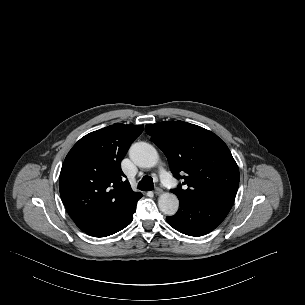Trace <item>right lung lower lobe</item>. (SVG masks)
I'll use <instances>...</instances> for the list:
<instances>
[{
	"label": "right lung lower lobe",
	"instance_id": "right-lung-lower-lobe-1",
	"mask_svg": "<svg viewBox=\"0 0 305 305\" xmlns=\"http://www.w3.org/2000/svg\"><path fill=\"white\" fill-rule=\"evenodd\" d=\"M136 210V205H134L129 211H127L124 215L119 217L118 219H115L113 222H111L108 226L104 228H98V229H91L88 231H85L87 234L95 237H106L109 235H112L123 228H125L127 225L130 224V222L133 219V213Z\"/></svg>",
	"mask_w": 305,
	"mask_h": 305
}]
</instances>
